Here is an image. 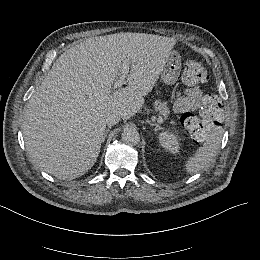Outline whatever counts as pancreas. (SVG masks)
Here are the masks:
<instances>
[{
    "instance_id": "cf45deb5",
    "label": "pancreas",
    "mask_w": 260,
    "mask_h": 260,
    "mask_svg": "<svg viewBox=\"0 0 260 260\" xmlns=\"http://www.w3.org/2000/svg\"><path fill=\"white\" fill-rule=\"evenodd\" d=\"M155 109L164 118V120H170V110L167 107V103L156 102ZM170 124L172 126H176V125H178V122L175 119H172V120H170Z\"/></svg>"
}]
</instances>
